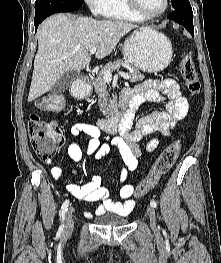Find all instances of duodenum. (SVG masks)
Instances as JSON below:
<instances>
[{"label":"duodenum","instance_id":"duodenum-1","mask_svg":"<svg viewBox=\"0 0 221 263\" xmlns=\"http://www.w3.org/2000/svg\"><path fill=\"white\" fill-rule=\"evenodd\" d=\"M90 77L87 76L85 81ZM72 92L75 97H80V88L78 86L72 87ZM130 103V96L126 92H121L119 95L118 111L111 117L102 120L101 128L108 133H114L118 128L130 125L133 118V113L138 109V106Z\"/></svg>","mask_w":221,"mask_h":263}]
</instances>
